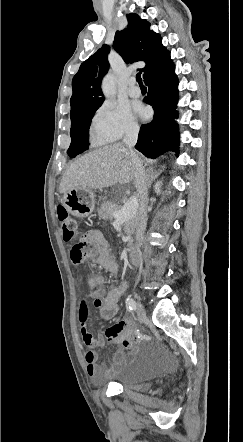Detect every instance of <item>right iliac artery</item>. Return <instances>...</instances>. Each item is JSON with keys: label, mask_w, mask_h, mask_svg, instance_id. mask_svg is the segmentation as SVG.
<instances>
[{"label": "right iliac artery", "mask_w": 243, "mask_h": 442, "mask_svg": "<svg viewBox=\"0 0 243 442\" xmlns=\"http://www.w3.org/2000/svg\"><path fill=\"white\" fill-rule=\"evenodd\" d=\"M126 306L129 308V310L131 311H135L136 310V303L134 301L133 298H131L130 296H128L125 300Z\"/></svg>", "instance_id": "1"}]
</instances>
